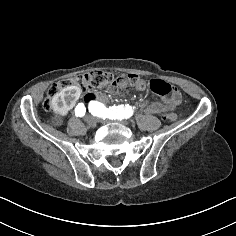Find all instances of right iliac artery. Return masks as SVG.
<instances>
[{"label": "right iliac artery", "instance_id": "82829eb1", "mask_svg": "<svg viewBox=\"0 0 236 236\" xmlns=\"http://www.w3.org/2000/svg\"><path fill=\"white\" fill-rule=\"evenodd\" d=\"M86 108L83 103H78L75 108V115L78 117H83L85 115Z\"/></svg>", "mask_w": 236, "mask_h": 236}]
</instances>
